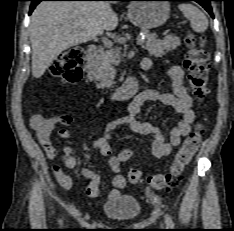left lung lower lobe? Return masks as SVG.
I'll return each instance as SVG.
<instances>
[{"instance_id":"0a47b994","label":"left lung lower lobe","mask_w":234,"mask_h":231,"mask_svg":"<svg viewBox=\"0 0 234 231\" xmlns=\"http://www.w3.org/2000/svg\"><path fill=\"white\" fill-rule=\"evenodd\" d=\"M123 1H133V0H123ZM170 1H196L204 9H206V11H208V13L211 15V17H214L213 13H212L211 5H210V1H213V0H170Z\"/></svg>"}]
</instances>
